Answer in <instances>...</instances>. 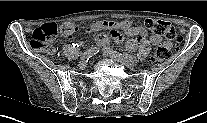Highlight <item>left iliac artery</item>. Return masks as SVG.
<instances>
[{
    "label": "left iliac artery",
    "instance_id": "obj_1",
    "mask_svg": "<svg viewBox=\"0 0 207 123\" xmlns=\"http://www.w3.org/2000/svg\"><path fill=\"white\" fill-rule=\"evenodd\" d=\"M111 53L114 54V55L120 56V57H122L126 60L136 61V57L133 56V55H129V54L122 55V54H120V53H118L117 51H114V50H112Z\"/></svg>",
    "mask_w": 207,
    "mask_h": 123
}]
</instances>
